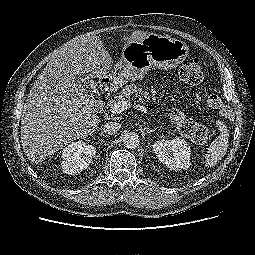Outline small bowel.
Segmentation results:
<instances>
[{
  "mask_svg": "<svg viewBox=\"0 0 255 255\" xmlns=\"http://www.w3.org/2000/svg\"><path fill=\"white\" fill-rule=\"evenodd\" d=\"M155 90L154 89H152V94L155 96ZM210 107H212V108H216V107H221V103L218 105V106H210Z\"/></svg>",
  "mask_w": 255,
  "mask_h": 255,
  "instance_id": "c3829d8e",
  "label": "small bowel"
}]
</instances>
